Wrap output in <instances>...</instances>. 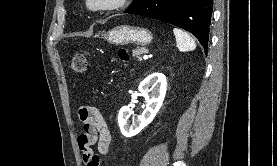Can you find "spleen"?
Segmentation results:
<instances>
[{
	"label": "spleen",
	"instance_id": "3e777b00",
	"mask_svg": "<svg viewBox=\"0 0 277 166\" xmlns=\"http://www.w3.org/2000/svg\"><path fill=\"white\" fill-rule=\"evenodd\" d=\"M173 32L179 51L187 52L196 49L195 40L188 33L178 28H174Z\"/></svg>",
	"mask_w": 277,
	"mask_h": 166
}]
</instances>
